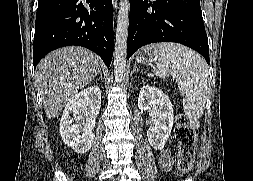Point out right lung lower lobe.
Listing matches in <instances>:
<instances>
[{
	"label": "right lung lower lobe",
	"mask_w": 253,
	"mask_h": 181,
	"mask_svg": "<svg viewBox=\"0 0 253 181\" xmlns=\"http://www.w3.org/2000/svg\"><path fill=\"white\" fill-rule=\"evenodd\" d=\"M112 0H39L33 44L34 68L50 51L79 45L109 68L113 56Z\"/></svg>",
	"instance_id": "1"
}]
</instances>
